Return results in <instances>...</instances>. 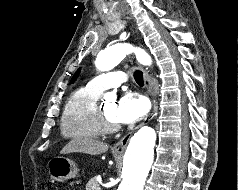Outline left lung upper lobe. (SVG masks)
Segmentation results:
<instances>
[{"label":"left lung upper lobe","instance_id":"left-lung-upper-lobe-1","mask_svg":"<svg viewBox=\"0 0 238 190\" xmlns=\"http://www.w3.org/2000/svg\"><path fill=\"white\" fill-rule=\"evenodd\" d=\"M79 71H80V70H78V71L76 72L75 76L78 75ZM74 78H75V77H73L72 81L74 80Z\"/></svg>","mask_w":238,"mask_h":190}]
</instances>
